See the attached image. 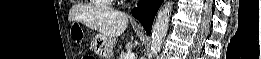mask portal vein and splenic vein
<instances>
[{"instance_id": "obj_1", "label": "portal vein and splenic vein", "mask_w": 261, "mask_h": 59, "mask_svg": "<svg viewBox=\"0 0 261 59\" xmlns=\"http://www.w3.org/2000/svg\"><path fill=\"white\" fill-rule=\"evenodd\" d=\"M125 59H135V54L133 52H130L125 56Z\"/></svg>"}]
</instances>
